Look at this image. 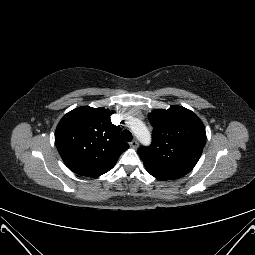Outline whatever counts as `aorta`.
Segmentation results:
<instances>
[{
    "label": "aorta",
    "mask_w": 255,
    "mask_h": 255,
    "mask_svg": "<svg viewBox=\"0 0 255 255\" xmlns=\"http://www.w3.org/2000/svg\"><path fill=\"white\" fill-rule=\"evenodd\" d=\"M131 129L141 143L145 145H148L150 143L151 141L150 132L142 121L134 119L131 125Z\"/></svg>",
    "instance_id": "obj_1"
}]
</instances>
